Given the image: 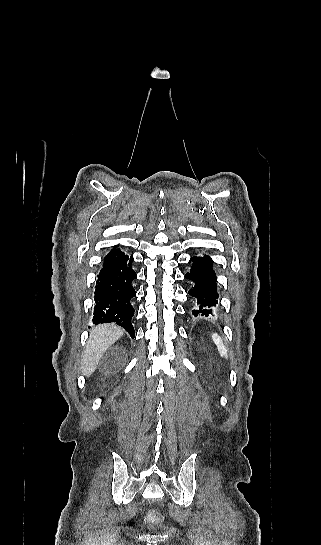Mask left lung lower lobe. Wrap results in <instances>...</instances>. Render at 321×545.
Returning <instances> with one entry per match:
<instances>
[{
    "instance_id": "1",
    "label": "left lung lower lobe",
    "mask_w": 321,
    "mask_h": 545,
    "mask_svg": "<svg viewBox=\"0 0 321 545\" xmlns=\"http://www.w3.org/2000/svg\"><path fill=\"white\" fill-rule=\"evenodd\" d=\"M192 267L190 272L186 273L185 278L192 280L195 285L188 293L197 299V309H193L192 313L196 316H208L213 314L211 307L215 306L218 301V293L216 290V274L212 269V259L204 255L203 257H192L190 259Z\"/></svg>"
}]
</instances>
